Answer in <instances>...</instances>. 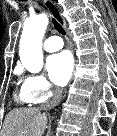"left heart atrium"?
<instances>
[{
    "label": "left heart atrium",
    "instance_id": "left-heart-atrium-1",
    "mask_svg": "<svg viewBox=\"0 0 117 136\" xmlns=\"http://www.w3.org/2000/svg\"><path fill=\"white\" fill-rule=\"evenodd\" d=\"M47 69L51 80L58 86H64L73 71V58L68 51H62L50 56Z\"/></svg>",
    "mask_w": 117,
    "mask_h": 136
}]
</instances>
